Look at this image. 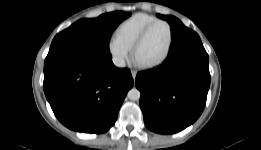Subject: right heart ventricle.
Wrapping results in <instances>:
<instances>
[{"instance_id": "e07e8e85", "label": "right heart ventricle", "mask_w": 261, "mask_h": 150, "mask_svg": "<svg viewBox=\"0 0 261 150\" xmlns=\"http://www.w3.org/2000/svg\"><path fill=\"white\" fill-rule=\"evenodd\" d=\"M157 17L147 13H135L123 20L115 29V37L132 49L140 33Z\"/></svg>"}]
</instances>
